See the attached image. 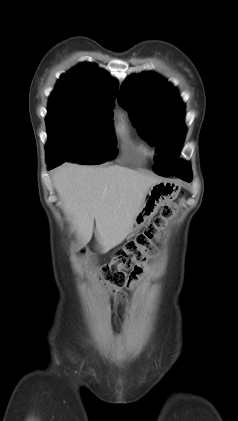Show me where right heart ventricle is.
Instances as JSON below:
<instances>
[{"label": "right heart ventricle", "instance_id": "e07e8e85", "mask_svg": "<svg viewBox=\"0 0 238 421\" xmlns=\"http://www.w3.org/2000/svg\"><path fill=\"white\" fill-rule=\"evenodd\" d=\"M117 132L118 134L125 138V139H129L130 138V134H131V129L128 125V122L123 119L117 126Z\"/></svg>", "mask_w": 238, "mask_h": 421}]
</instances>
